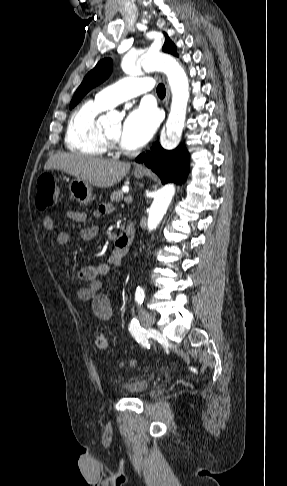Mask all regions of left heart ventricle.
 I'll list each match as a JSON object with an SVG mask.
<instances>
[{
  "label": "left heart ventricle",
  "instance_id": "1",
  "mask_svg": "<svg viewBox=\"0 0 287 486\" xmlns=\"http://www.w3.org/2000/svg\"><path fill=\"white\" fill-rule=\"evenodd\" d=\"M121 124H116L114 126H112L111 128L107 129L106 130V134L116 140V141H119L120 140V136H121Z\"/></svg>",
  "mask_w": 287,
  "mask_h": 486
}]
</instances>
